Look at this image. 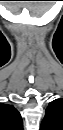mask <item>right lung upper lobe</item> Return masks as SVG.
I'll use <instances>...</instances> for the list:
<instances>
[{
    "label": "right lung upper lobe",
    "mask_w": 63,
    "mask_h": 130,
    "mask_svg": "<svg viewBox=\"0 0 63 130\" xmlns=\"http://www.w3.org/2000/svg\"><path fill=\"white\" fill-rule=\"evenodd\" d=\"M0 129L23 130L21 115L12 105L0 104Z\"/></svg>",
    "instance_id": "1"
}]
</instances>
